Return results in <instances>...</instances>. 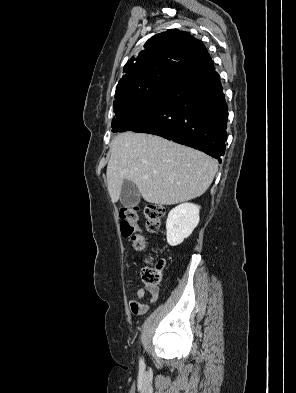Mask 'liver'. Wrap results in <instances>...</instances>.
Returning a JSON list of instances; mask_svg holds the SVG:
<instances>
[{"label":"liver","mask_w":296,"mask_h":393,"mask_svg":"<svg viewBox=\"0 0 296 393\" xmlns=\"http://www.w3.org/2000/svg\"><path fill=\"white\" fill-rule=\"evenodd\" d=\"M218 166L203 152L162 137L125 132L111 146L107 185L111 201L119 200L124 181H132L146 202L173 205L201 196Z\"/></svg>","instance_id":"1"}]
</instances>
